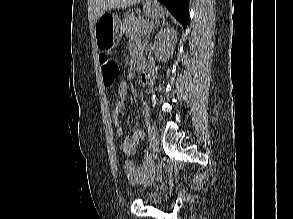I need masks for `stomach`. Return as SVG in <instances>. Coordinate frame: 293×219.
Returning a JSON list of instances; mask_svg holds the SVG:
<instances>
[{
  "label": "stomach",
  "instance_id": "0dacf381",
  "mask_svg": "<svg viewBox=\"0 0 293 219\" xmlns=\"http://www.w3.org/2000/svg\"><path fill=\"white\" fill-rule=\"evenodd\" d=\"M143 12L153 19L164 16L163 8L156 0H143ZM94 34L97 48L105 52L111 51L122 36L120 19L114 15L101 16L95 23Z\"/></svg>",
  "mask_w": 293,
  "mask_h": 219
}]
</instances>
